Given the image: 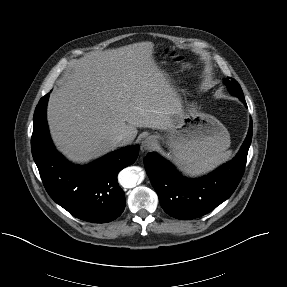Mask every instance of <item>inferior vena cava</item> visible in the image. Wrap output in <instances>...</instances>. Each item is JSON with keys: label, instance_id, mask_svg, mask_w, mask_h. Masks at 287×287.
<instances>
[{"label": "inferior vena cava", "instance_id": "602c4592", "mask_svg": "<svg viewBox=\"0 0 287 287\" xmlns=\"http://www.w3.org/2000/svg\"><path fill=\"white\" fill-rule=\"evenodd\" d=\"M111 142L115 147H118L127 144L129 142V139L125 135L120 134L114 136Z\"/></svg>", "mask_w": 287, "mask_h": 287}]
</instances>
